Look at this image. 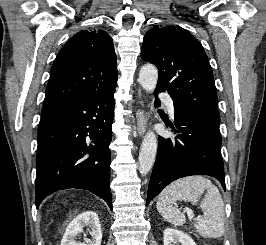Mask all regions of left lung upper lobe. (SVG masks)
Returning <instances> with one entry per match:
<instances>
[{
	"instance_id": "left-lung-upper-lobe-1",
	"label": "left lung upper lobe",
	"mask_w": 266,
	"mask_h": 245,
	"mask_svg": "<svg viewBox=\"0 0 266 245\" xmlns=\"http://www.w3.org/2000/svg\"><path fill=\"white\" fill-rule=\"evenodd\" d=\"M141 57L157 66L156 89L168 91L176 106L220 122L212 68L191 33L180 26H155L144 36Z\"/></svg>"
}]
</instances>
